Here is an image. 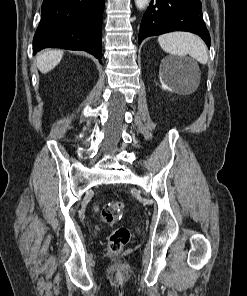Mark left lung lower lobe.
Returning a JSON list of instances; mask_svg holds the SVG:
<instances>
[{
	"mask_svg": "<svg viewBox=\"0 0 247 296\" xmlns=\"http://www.w3.org/2000/svg\"><path fill=\"white\" fill-rule=\"evenodd\" d=\"M171 31L198 34L210 47L200 0H151L141 22L139 44L149 36Z\"/></svg>",
	"mask_w": 247,
	"mask_h": 296,
	"instance_id": "obj_1",
	"label": "left lung lower lobe"
}]
</instances>
